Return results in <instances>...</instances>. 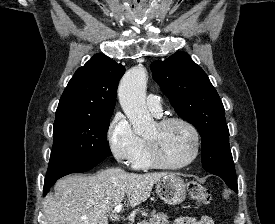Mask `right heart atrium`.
I'll return each mask as SVG.
<instances>
[{
  "instance_id": "d8ad5b80",
  "label": "right heart atrium",
  "mask_w": 275,
  "mask_h": 224,
  "mask_svg": "<svg viewBox=\"0 0 275 224\" xmlns=\"http://www.w3.org/2000/svg\"><path fill=\"white\" fill-rule=\"evenodd\" d=\"M107 141L114 157L125 163L132 161L142 145V139L121 112L115 114L108 127Z\"/></svg>"
}]
</instances>
